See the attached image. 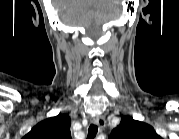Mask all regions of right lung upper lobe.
<instances>
[{"mask_svg":"<svg viewBox=\"0 0 179 139\" xmlns=\"http://www.w3.org/2000/svg\"><path fill=\"white\" fill-rule=\"evenodd\" d=\"M70 117L59 114L38 123L25 139H71Z\"/></svg>","mask_w":179,"mask_h":139,"instance_id":"right-lung-upper-lobe-1","label":"right lung upper lobe"}]
</instances>
